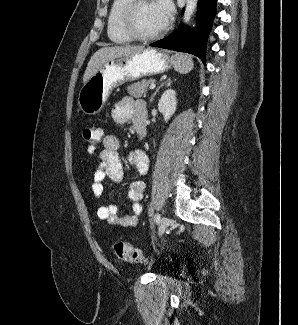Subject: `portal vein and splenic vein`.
<instances>
[{"instance_id":"portal-vein-and-splenic-vein-1","label":"portal vein and splenic vein","mask_w":298,"mask_h":325,"mask_svg":"<svg viewBox=\"0 0 298 325\" xmlns=\"http://www.w3.org/2000/svg\"><path fill=\"white\" fill-rule=\"evenodd\" d=\"M155 86H156V84H154V82H153V84H149L148 88H150V90H151V88H155Z\"/></svg>"}]
</instances>
